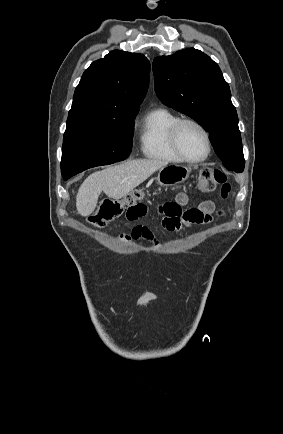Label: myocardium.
<instances>
[{"label": "myocardium", "mask_w": 283, "mask_h": 434, "mask_svg": "<svg viewBox=\"0 0 283 434\" xmlns=\"http://www.w3.org/2000/svg\"><path fill=\"white\" fill-rule=\"evenodd\" d=\"M185 124H192L195 127H197L202 132V134L205 138L206 152L200 158H196V159L188 158L187 156L184 155V153L182 152V150L180 148L179 140H178L179 131H180V128ZM169 138H170V144H171V147H172L174 153L183 162L191 163V164L201 163V162L205 161L211 154L212 143H211L210 134H209L208 130L199 121H197L193 118H179L171 127Z\"/></svg>", "instance_id": "obj_1"}]
</instances>
